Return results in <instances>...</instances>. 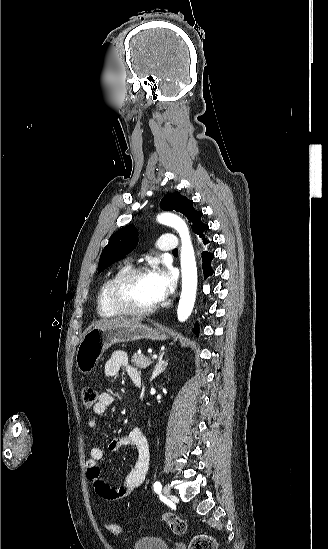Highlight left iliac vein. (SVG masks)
I'll return each instance as SVG.
<instances>
[{
    "label": "left iliac vein",
    "instance_id": "obj_1",
    "mask_svg": "<svg viewBox=\"0 0 328 549\" xmlns=\"http://www.w3.org/2000/svg\"><path fill=\"white\" fill-rule=\"evenodd\" d=\"M163 492H164L165 496L168 497V498H170V496L172 495L170 487L167 484L164 486Z\"/></svg>",
    "mask_w": 328,
    "mask_h": 549
}]
</instances>
